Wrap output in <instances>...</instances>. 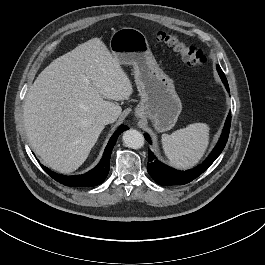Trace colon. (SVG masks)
<instances>
[{
    "label": "colon",
    "instance_id": "1",
    "mask_svg": "<svg viewBox=\"0 0 265 265\" xmlns=\"http://www.w3.org/2000/svg\"><path fill=\"white\" fill-rule=\"evenodd\" d=\"M156 39L177 52L184 63L194 71L199 72L205 67L207 59L204 54L195 47L182 42L176 35L168 32H159L156 35Z\"/></svg>",
    "mask_w": 265,
    "mask_h": 265
}]
</instances>
